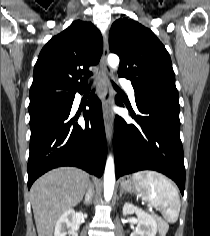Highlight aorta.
Returning <instances> with one entry per match:
<instances>
[{
	"mask_svg": "<svg viewBox=\"0 0 210 236\" xmlns=\"http://www.w3.org/2000/svg\"><path fill=\"white\" fill-rule=\"evenodd\" d=\"M119 57L116 54H110L108 56V64L111 68H117L119 65ZM115 184V166L114 159L110 155L107 158L105 171H104V198L106 201H110L114 191Z\"/></svg>",
	"mask_w": 210,
	"mask_h": 236,
	"instance_id": "762f6f07",
	"label": "aorta"
}]
</instances>
